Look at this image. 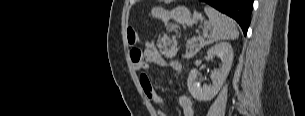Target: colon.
I'll return each mask as SVG.
<instances>
[{
    "mask_svg": "<svg viewBox=\"0 0 305 116\" xmlns=\"http://www.w3.org/2000/svg\"><path fill=\"white\" fill-rule=\"evenodd\" d=\"M127 41L130 46H134L141 41L138 31L132 26L127 29ZM141 76L145 78L146 74H142Z\"/></svg>",
    "mask_w": 305,
    "mask_h": 116,
    "instance_id": "obj_1",
    "label": "colon"
}]
</instances>
